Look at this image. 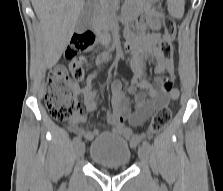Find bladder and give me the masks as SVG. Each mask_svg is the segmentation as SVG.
Masks as SVG:
<instances>
[{"instance_id":"1","label":"bladder","mask_w":223,"mask_h":191,"mask_svg":"<svg viewBox=\"0 0 223 191\" xmlns=\"http://www.w3.org/2000/svg\"><path fill=\"white\" fill-rule=\"evenodd\" d=\"M89 154L91 160L100 166L126 167L132 159V151L126 140L113 134L94 140Z\"/></svg>"}]
</instances>
